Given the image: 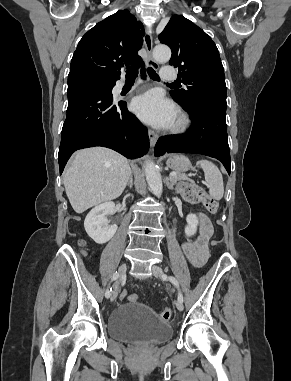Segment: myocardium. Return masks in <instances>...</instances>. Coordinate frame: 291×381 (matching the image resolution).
I'll return each mask as SVG.
<instances>
[{
  "label": "myocardium",
  "instance_id": "f54148a6",
  "mask_svg": "<svg viewBox=\"0 0 291 381\" xmlns=\"http://www.w3.org/2000/svg\"><path fill=\"white\" fill-rule=\"evenodd\" d=\"M190 120L185 113H179L178 118L173 126L174 132H182L189 126Z\"/></svg>",
  "mask_w": 291,
  "mask_h": 381
}]
</instances>
